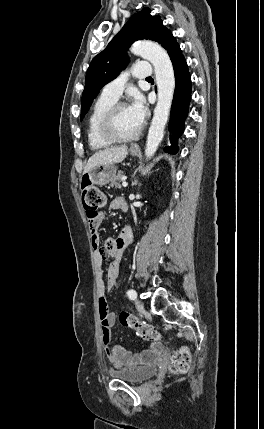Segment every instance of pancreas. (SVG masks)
<instances>
[{"label": "pancreas", "instance_id": "pancreas-1", "mask_svg": "<svg viewBox=\"0 0 264 429\" xmlns=\"http://www.w3.org/2000/svg\"><path fill=\"white\" fill-rule=\"evenodd\" d=\"M122 177H123V172L119 171L118 174L111 180V183H110L111 187L120 189L121 188L120 183L123 181Z\"/></svg>", "mask_w": 264, "mask_h": 429}]
</instances>
